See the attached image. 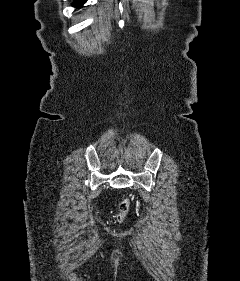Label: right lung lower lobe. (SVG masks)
<instances>
[{
  "instance_id": "obj_1",
  "label": "right lung lower lobe",
  "mask_w": 240,
  "mask_h": 281,
  "mask_svg": "<svg viewBox=\"0 0 240 281\" xmlns=\"http://www.w3.org/2000/svg\"><path fill=\"white\" fill-rule=\"evenodd\" d=\"M86 2V0H74L73 6H78L79 8Z\"/></svg>"
}]
</instances>
